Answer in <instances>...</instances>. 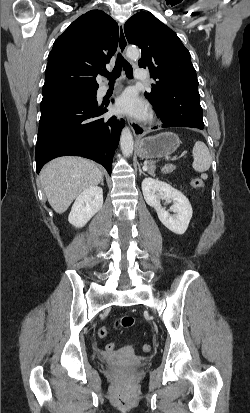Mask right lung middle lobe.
Segmentation results:
<instances>
[{
	"label": "right lung middle lobe",
	"instance_id": "dd1d6c3e",
	"mask_svg": "<svg viewBox=\"0 0 250 413\" xmlns=\"http://www.w3.org/2000/svg\"><path fill=\"white\" fill-rule=\"evenodd\" d=\"M97 89H67L51 93L47 98H66L69 96H84L96 98Z\"/></svg>",
	"mask_w": 250,
	"mask_h": 413
}]
</instances>
